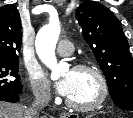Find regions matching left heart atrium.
Masks as SVG:
<instances>
[{"label":"left heart atrium","instance_id":"39dd6f15","mask_svg":"<svg viewBox=\"0 0 133 118\" xmlns=\"http://www.w3.org/2000/svg\"><path fill=\"white\" fill-rule=\"evenodd\" d=\"M57 92L65 97H68L73 87V77L71 72L63 76L55 85Z\"/></svg>","mask_w":133,"mask_h":118}]
</instances>
